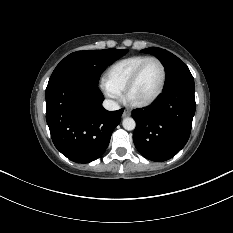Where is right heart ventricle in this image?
I'll return each instance as SVG.
<instances>
[{"mask_svg": "<svg viewBox=\"0 0 233 233\" xmlns=\"http://www.w3.org/2000/svg\"><path fill=\"white\" fill-rule=\"evenodd\" d=\"M147 58L148 56L135 55L115 62L107 69L104 81L122 93L132 73Z\"/></svg>", "mask_w": 233, "mask_h": 233, "instance_id": "right-heart-ventricle-1", "label": "right heart ventricle"}]
</instances>
